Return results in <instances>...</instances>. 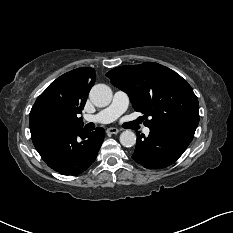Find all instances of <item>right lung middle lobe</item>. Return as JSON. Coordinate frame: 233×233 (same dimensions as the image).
I'll return each instance as SVG.
<instances>
[{"label":"right lung middle lobe","instance_id":"right-lung-middle-lobe-1","mask_svg":"<svg viewBox=\"0 0 233 233\" xmlns=\"http://www.w3.org/2000/svg\"><path fill=\"white\" fill-rule=\"evenodd\" d=\"M40 127L46 128V129H59L64 128L65 126L62 124V122L59 120V118L55 115L49 114L45 116L39 123Z\"/></svg>","mask_w":233,"mask_h":233}]
</instances>
